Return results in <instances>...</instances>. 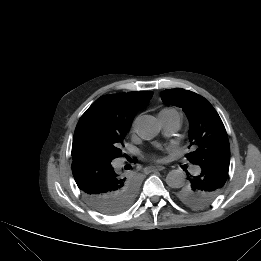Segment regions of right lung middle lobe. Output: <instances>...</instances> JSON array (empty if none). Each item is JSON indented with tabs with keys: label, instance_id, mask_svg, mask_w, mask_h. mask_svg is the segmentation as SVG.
Wrapping results in <instances>:
<instances>
[{
	"label": "right lung middle lobe",
	"instance_id": "obj_1",
	"mask_svg": "<svg viewBox=\"0 0 261 261\" xmlns=\"http://www.w3.org/2000/svg\"><path fill=\"white\" fill-rule=\"evenodd\" d=\"M127 131L128 128L105 123L84 113L74 132L71 155L113 161L122 156L120 146ZM137 190V181L129 179L124 188V200L128 206L133 202Z\"/></svg>",
	"mask_w": 261,
	"mask_h": 261
}]
</instances>
